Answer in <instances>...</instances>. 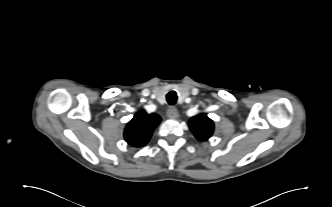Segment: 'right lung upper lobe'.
<instances>
[{
    "mask_svg": "<svg viewBox=\"0 0 332 207\" xmlns=\"http://www.w3.org/2000/svg\"><path fill=\"white\" fill-rule=\"evenodd\" d=\"M160 121L161 118L157 114H148L144 110L138 111L125 128L124 138L126 142L133 147L144 146Z\"/></svg>",
    "mask_w": 332,
    "mask_h": 207,
    "instance_id": "right-lung-upper-lobe-1",
    "label": "right lung upper lobe"
}]
</instances>
